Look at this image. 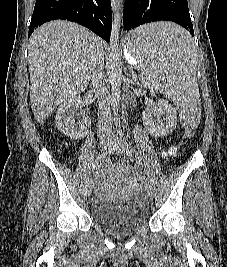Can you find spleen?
<instances>
[{"label":"spleen","instance_id":"3e777b00","mask_svg":"<svg viewBox=\"0 0 227 267\" xmlns=\"http://www.w3.org/2000/svg\"><path fill=\"white\" fill-rule=\"evenodd\" d=\"M124 39L128 55L139 63L142 77L160 81L165 95L175 102L181 115H201L197 61L194 43L180 22L172 19H155V22L140 23L127 31ZM190 121H201V116H190Z\"/></svg>","mask_w":227,"mask_h":267}]
</instances>
